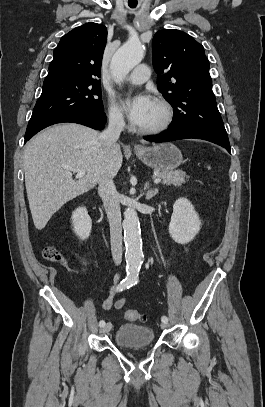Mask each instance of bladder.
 Returning <instances> with one entry per match:
<instances>
[{"instance_id":"obj_1","label":"bladder","mask_w":265,"mask_h":407,"mask_svg":"<svg viewBox=\"0 0 265 407\" xmlns=\"http://www.w3.org/2000/svg\"><path fill=\"white\" fill-rule=\"evenodd\" d=\"M114 339L115 343L122 347H145L153 342L154 331L148 326L127 323L117 329Z\"/></svg>"}]
</instances>
